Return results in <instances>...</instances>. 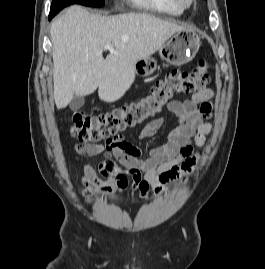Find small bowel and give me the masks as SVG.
<instances>
[{
    "label": "small bowel",
    "mask_w": 265,
    "mask_h": 269,
    "mask_svg": "<svg viewBox=\"0 0 265 269\" xmlns=\"http://www.w3.org/2000/svg\"><path fill=\"white\" fill-rule=\"evenodd\" d=\"M214 91L204 88L194 93L190 99L171 101L167 108L175 123L165 143L147 150L136 146L119 135L104 143L75 144L77 154L87 157L103 156L98 172L105 178H99L90 164L83 167L82 195L91 201V187L96 195L106 196L125 192L128 189L144 193L148 185L173 184L184 186L187 175L197 163L194 146H202L210 124L204 122L212 111L211 99ZM167 117H158L143 125L139 138L155 135L168 122ZM147 158L142 159L144 154ZM132 176V183L128 179Z\"/></svg>",
    "instance_id": "c3829d8e"
}]
</instances>
